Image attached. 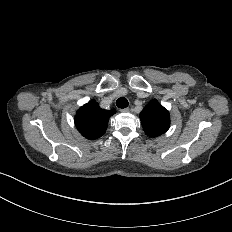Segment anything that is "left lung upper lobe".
<instances>
[{
	"instance_id": "1",
	"label": "left lung upper lobe",
	"mask_w": 232,
	"mask_h": 232,
	"mask_svg": "<svg viewBox=\"0 0 232 232\" xmlns=\"http://www.w3.org/2000/svg\"><path fill=\"white\" fill-rule=\"evenodd\" d=\"M145 133L157 137L165 133L170 126L169 112L157 100H152L140 113Z\"/></svg>"
}]
</instances>
